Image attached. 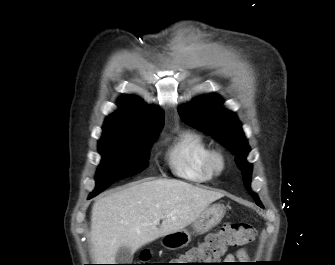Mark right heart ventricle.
Wrapping results in <instances>:
<instances>
[{
	"label": "right heart ventricle",
	"mask_w": 335,
	"mask_h": 265,
	"mask_svg": "<svg viewBox=\"0 0 335 265\" xmlns=\"http://www.w3.org/2000/svg\"><path fill=\"white\" fill-rule=\"evenodd\" d=\"M210 152L211 148L201 134L185 130L170 144L167 158L176 176L194 183H205L216 175L207 163Z\"/></svg>",
	"instance_id": "obj_1"
}]
</instances>
